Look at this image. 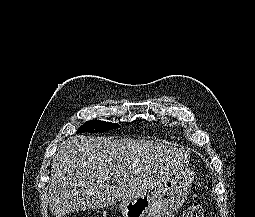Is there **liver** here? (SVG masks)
Wrapping results in <instances>:
<instances>
[{
	"mask_svg": "<svg viewBox=\"0 0 255 217\" xmlns=\"http://www.w3.org/2000/svg\"><path fill=\"white\" fill-rule=\"evenodd\" d=\"M190 160L187 148L146 140L71 136L51 164L49 207L55 217L147 195ZM116 185H110L111 177Z\"/></svg>",
	"mask_w": 255,
	"mask_h": 217,
	"instance_id": "obj_1",
	"label": "liver"
}]
</instances>
